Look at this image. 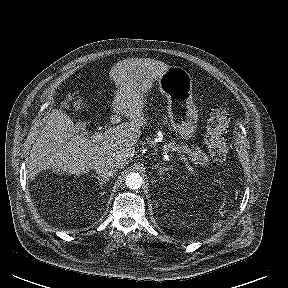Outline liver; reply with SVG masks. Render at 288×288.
Listing matches in <instances>:
<instances>
[{"label":"liver","mask_w":288,"mask_h":288,"mask_svg":"<svg viewBox=\"0 0 288 288\" xmlns=\"http://www.w3.org/2000/svg\"><path fill=\"white\" fill-rule=\"evenodd\" d=\"M169 68V65L150 58H129L118 62L110 71V78L118 88L110 118L116 126L109 127L98 141L76 132L72 120L61 110L53 109L39 134L29 156L28 175L34 177L46 169L85 174L102 159H113L118 168L124 167L134 156L147 124L143 109L148 88ZM68 100H72L68 95ZM120 114L129 121L120 123Z\"/></svg>","instance_id":"obj_1"}]
</instances>
